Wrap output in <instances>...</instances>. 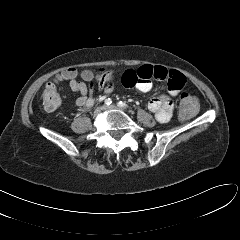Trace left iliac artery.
Listing matches in <instances>:
<instances>
[{"label": "left iliac artery", "instance_id": "obj_1", "mask_svg": "<svg viewBox=\"0 0 240 240\" xmlns=\"http://www.w3.org/2000/svg\"><path fill=\"white\" fill-rule=\"evenodd\" d=\"M117 105H118L119 107L124 108V109H127V108H128V105H127L125 102H122V101L118 102Z\"/></svg>", "mask_w": 240, "mask_h": 240}]
</instances>
